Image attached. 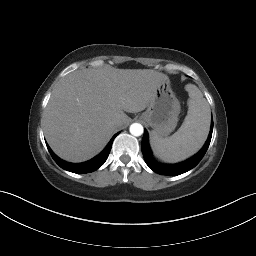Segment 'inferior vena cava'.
<instances>
[{"instance_id":"obj_1","label":"inferior vena cava","mask_w":256,"mask_h":256,"mask_svg":"<svg viewBox=\"0 0 256 256\" xmlns=\"http://www.w3.org/2000/svg\"><path fill=\"white\" fill-rule=\"evenodd\" d=\"M111 126L115 129V130H120L122 128V123L118 120V119H113L111 121Z\"/></svg>"}]
</instances>
